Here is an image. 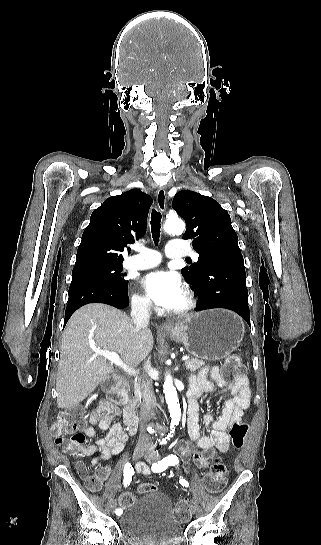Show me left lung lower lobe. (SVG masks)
I'll use <instances>...</instances> for the list:
<instances>
[{"mask_svg": "<svg viewBox=\"0 0 321 545\" xmlns=\"http://www.w3.org/2000/svg\"><path fill=\"white\" fill-rule=\"evenodd\" d=\"M198 293L196 311L226 308L243 317L250 325L248 290L242 255L219 257L203 271L193 285Z\"/></svg>", "mask_w": 321, "mask_h": 545, "instance_id": "left-lung-lower-lobe-1", "label": "left lung lower lobe"}]
</instances>
